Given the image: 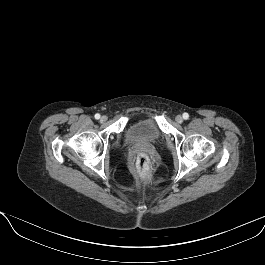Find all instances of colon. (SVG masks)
I'll use <instances>...</instances> for the list:
<instances>
[{"label":"colon","instance_id":"5ec220e1","mask_svg":"<svg viewBox=\"0 0 265 265\" xmlns=\"http://www.w3.org/2000/svg\"><path fill=\"white\" fill-rule=\"evenodd\" d=\"M135 168L137 174L141 178L143 179L147 178L151 171V164L148 157L143 154L139 155L136 159Z\"/></svg>","mask_w":265,"mask_h":265}]
</instances>
